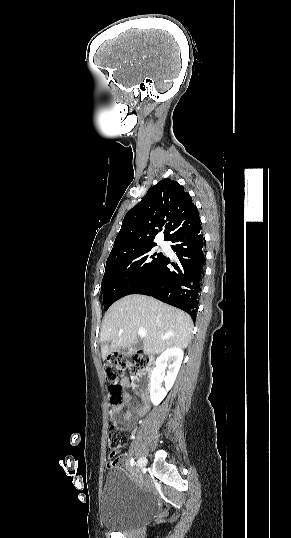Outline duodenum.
Segmentation results:
<instances>
[{
	"instance_id": "duodenum-1",
	"label": "duodenum",
	"mask_w": 291,
	"mask_h": 538,
	"mask_svg": "<svg viewBox=\"0 0 291 538\" xmlns=\"http://www.w3.org/2000/svg\"><path fill=\"white\" fill-rule=\"evenodd\" d=\"M148 360H152V357H148ZM153 368L154 365L152 364V361H149V364L146 365L145 373H150V370ZM133 381L135 382L136 387L134 394L136 396L141 395L142 397L147 398L146 393L152 390V386L154 384L152 377H150L148 374L143 375L141 372H137L135 373Z\"/></svg>"
}]
</instances>
